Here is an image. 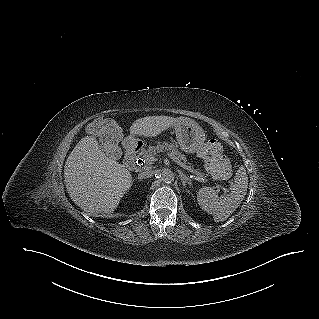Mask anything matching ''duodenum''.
Returning <instances> with one entry per match:
<instances>
[{"instance_id": "410a0bca", "label": "duodenum", "mask_w": 319, "mask_h": 319, "mask_svg": "<svg viewBox=\"0 0 319 319\" xmlns=\"http://www.w3.org/2000/svg\"><path fill=\"white\" fill-rule=\"evenodd\" d=\"M123 147L125 151V167L129 170H133L142 163L140 156L141 145L136 140H125Z\"/></svg>"}]
</instances>
